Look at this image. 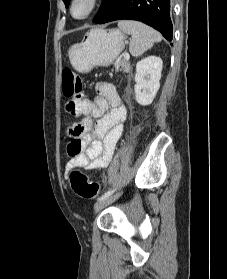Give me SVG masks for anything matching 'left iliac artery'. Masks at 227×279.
Listing matches in <instances>:
<instances>
[{"label":"left iliac artery","instance_id":"44dca946","mask_svg":"<svg viewBox=\"0 0 227 279\" xmlns=\"http://www.w3.org/2000/svg\"><path fill=\"white\" fill-rule=\"evenodd\" d=\"M115 190H116V189L107 191L105 194H103V195L98 199V201L101 200V199H103V198H105V197H109L110 195H112V194L115 192Z\"/></svg>","mask_w":227,"mask_h":279}]
</instances>
